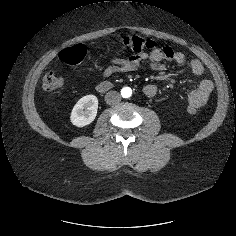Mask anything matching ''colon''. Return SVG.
I'll use <instances>...</instances> for the list:
<instances>
[{
	"label": "colon",
	"mask_w": 236,
	"mask_h": 236,
	"mask_svg": "<svg viewBox=\"0 0 236 236\" xmlns=\"http://www.w3.org/2000/svg\"><path fill=\"white\" fill-rule=\"evenodd\" d=\"M119 42L127 49L136 53H153L159 51L155 41L143 38L137 35H126L120 38ZM87 54V49L82 44L63 49L59 54V60L67 65L75 66L80 64ZM64 79L56 72H48L43 79V87L48 91H54L62 88ZM189 111L195 113L197 109L189 107Z\"/></svg>",
	"instance_id": "5ec220e1"
}]
</instances>
